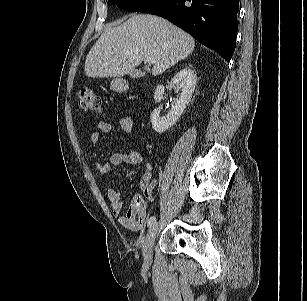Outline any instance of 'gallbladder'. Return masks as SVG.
<instances>
[{"label": "gallbladder", "instance_id": "obj_1", "mask_svg": "<svg viewBox=\"0 0 307 301\" xmlns=\"http://www.w3.org/2000/svg\"><path fill=\"white\" fill-rule=\"evenodd\" d=\"M141 76H143V73L140 70L130 72V77L132 78H139Z\"/></svg>", "mask_w": 307, "mask_h": 301}]
</instances>
